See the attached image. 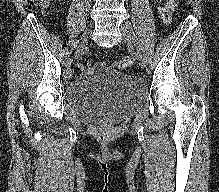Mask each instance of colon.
<instances>
[{
	"label": "colon",
	"mask_w": 219,
	"mask_h": 192,
	"mask_svg": "<svg viewBox=\"0 0 219 192\" xmlns=\"http://www.w3.org/2000/svg\"><path fill=\"white\" fill-rule=\"evenodd\" d=\"M34 4L40 7L44 11H50L53 8V0H33ZM176 7V0H166L161 8V16L164 24L171 23L173 19V12ZM134 62L131 56H125L119 61L113 62L112 65L118 69H125L130 67ZM93 61H89V65H92Z\"/></svg>",
	"instance_id": "obj_1"
}]
</instances>
